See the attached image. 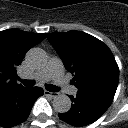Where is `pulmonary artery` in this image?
Masks as SVG:
<instances>
[{"mask_svg":"<svg viewBox=\"0 0 128 128\" xmlns=\"http://www.w3.org/2000/svg\"><path fill=\"white\" fill-rule=\"evenodd\" d=\"M26 77V76H24ZM36 80L48 81L53 80L55 83L64 87L67 94L76 95L77 88L75 86H67L64 78V69L61 60L57 57H52L45 68L32 75Z\"/></svg>","mask_w":128,"mask_h":128,"instance_id":"1","label":"pulmonary artery"}]
</instances>
